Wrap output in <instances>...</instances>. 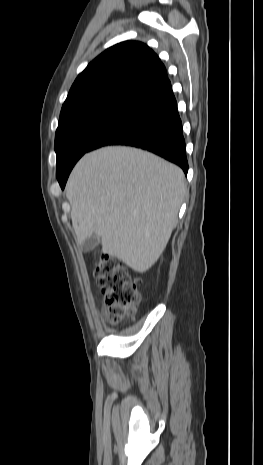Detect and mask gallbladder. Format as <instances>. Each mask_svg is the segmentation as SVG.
<instances>
[{"instance_id":"bac80fb5","label":"gallbladder","mask_w":263,"mask_h":465,"mask_svg":"<svg viewBox=\"0 0 263 465\" xmlns=\"http://www.w3.org/2000/svg\"><path fill=\"white\" fill-rule=\"evenodd\" d=\"M100 237L96 234L91 235L85 241L81 243V249L83 252H90L92 251L99 243Z\"/></svg>"}]
</instances>
